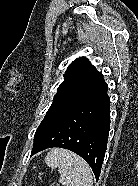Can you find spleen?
<instances>
[{
    "label": "spleen",
    "mask_w": 138,
    "mask_h": 186,
    "mask_svg": "<svg viewBox=\"0 0 138 186\" xmlns=\"http://www.w3.org/2000/svg\"><path fill=\"white\" fill-rule=\"evenodd\" d=\"M45 163L52 170H61L59 182L64 186H93L89 165L73 152L54 148L47 153Z\"/></svg>",
    "instance_id": "spleen-1"
}]
</instances>
